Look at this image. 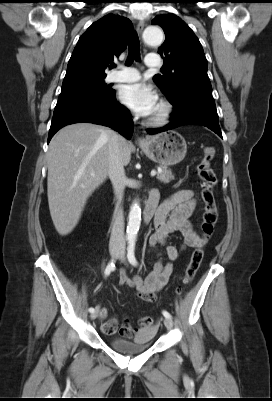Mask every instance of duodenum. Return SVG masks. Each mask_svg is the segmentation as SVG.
<instances>
[{
  "mask_svg": "<svg viewBox=\"0 0 272 401\" xmlns=\"http://www.w3.org/2000/svg\"><path fill=\"white\" fill-rule=\"evenodd\" d=\"M157 203H158V193L157 192L150 193V196L147 200L146 207L143 213V218L145 223L148 224L152 220L155 211L157 209Z\"/></svg>",
  "mask_w": 272,
  "mask_h": 401,
  "instance_id": "410a0bca",
  "label": "duodenum"
}]
</instances>
